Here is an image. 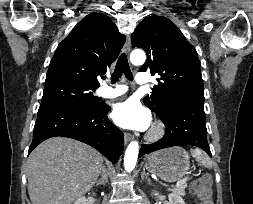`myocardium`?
Masks as SVG:
<instances>
[{
  "label": "myocardium",
  "instance_id": "myocardium-1",
  "mask_svg": "<svg viewBox=\"0 0 253 204\" xmlns=\"http://www.w3.org/2000/svg\"><path fill=\"white\" fill-rule=\"evenodd\" d=\"M165 134V126L161 121H155L147 132L145 138L149 142L160 140Z\"/></svg>",
  "mask_w": 253,
  "mask_h": 204
}]
</instances>
